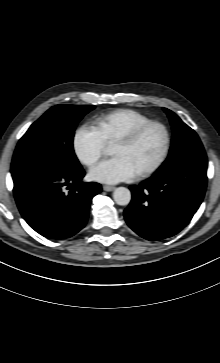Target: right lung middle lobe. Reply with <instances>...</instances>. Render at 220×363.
<instances>
[{
	"instance_id": "obj_1",
	"label": "right lung middle lobe",
	"mask_w": 220,
	"mask_h": 363,
	"mask_svg": "<svg viewBox=\"0 0 220 363\" xmlns=\"http://www.w3.org/2000/svg\"><path fill=\"white\" fill-rule=\"evenodd\" d=\"M94 106L56 105L31 125L13 155V180L35 172L73 173L82 169L74 150V130Z\"/></svg>"
}]
</instances>
